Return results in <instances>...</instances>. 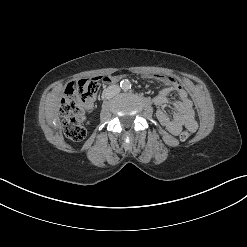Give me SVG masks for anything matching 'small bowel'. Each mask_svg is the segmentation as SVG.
<instances>
[{
	"label": "small bowel",
	"instance_id": "c3829d8e",
	"mask_svg": "<svg viewBox=\"0 0 247 247\" xmlns=\"http://www.w3.org/2000/svg\"><path fill=\"white\" fill-rule=\"evenodd\" d=\"M120 76H109L104 78L106 84L116 82ZM155 78L165 85V88L153 98V102L158 107L172 105L175 110L174 116L170 118L162 109H158L156 117L159 122L172 134L178 135L183 127L190 132H194L197 128V123L194 117L193 103L190 100L187 91L182 84L172 76L156 75ZM176 92L179 97L177 101H170L169 93ZM92 102L85 105V108L90 109Z\"/></svg>",
	"mask_w": 247,
	"mask_h": 247
}]
</instances>
